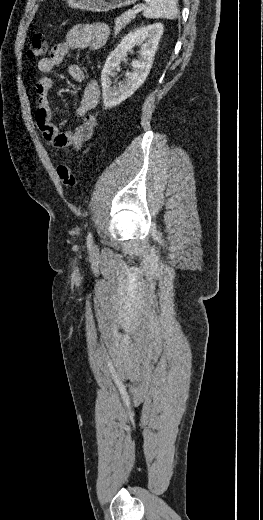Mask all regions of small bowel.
Instances as JSON below:
<instances>
[{
    "mask_svg": "<svg viewBox=\"0 0 263 520\" xmlns=\"http://www.w3.org/2000/svg\"><path fill=\"white\" fill-rule=\"evenodd\" d=\"M108 34V27L102 23L74 25L66 32L63 42L52 47L49 57L41 58L37 62V70L41 76L35 87L37 96L35 121L44 139L58 150L64 152L77 150L85 142L93 139L98 118L90 114V111L98 103L100 90L95 80L87 82L75 109V116L81 119V123L75 129L65 131L63 130L65 122L57 124L53 121V111L49 101L53 82L46 74L61 64L73 50H98L105 44ZM68 72L76 82L85 80V73L78 64L69 65Z\"/></svg>",
    "mask_w": 263,
    "mask_h": 520,
    "instance_id": "small-bowel-1",
    "label": "small bowel"
}]
</instances>
